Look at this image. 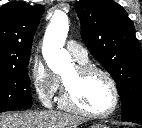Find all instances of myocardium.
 I'll use <instances>...</instances> for the list:
<instances>
[{
    "instance_id": "1",
    "label": "myocardium",
    "mask_w": 142,
    "mask_h": 128,
    "mask_svg": "<svg viewBox=\"0 0 142 128\" xmlns=\"http://www.w3.org/2000/svg\"><path fill=\"white\" fill-rule=\"evenodd\" d=\"M75 68L81 77H85L91 74H100L104 76L109 82L113 91V95H114L113 106L111 107L110 110L103 113H94V112H89L83 109L75 101L71 90L66 85L64 80H63V92H62V96L60 100L61 106L72 113H75L87 118L102 119V118L111 116L118 109L120 104V92L114 78L111 76L109 72H107L105 69L99 66L90 65V64H78L76 65Z\"/></svg>"
}]
</instances>
